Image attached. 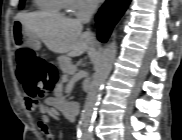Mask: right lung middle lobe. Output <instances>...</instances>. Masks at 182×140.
Wrapping results in <instances>:
<instances>
[{"instance_id":"1","label":"right lung middle lobe","mask_w":182,"mask_h":140,"mask_svg":"<svg viewBox=\"0 0 182 140\" xmlns=\"http://www.w3.org/2000/svg\"><path fill=\"white\" fill-rule=\"evenodd\" d=\"M24 0L20 1V8L23 7Z\"/></svg>"}]
</instances>
